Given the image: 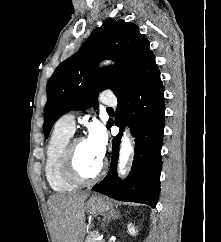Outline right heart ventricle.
Returning a JSON list of instances; mask_svg holds the SVG:
<instances>
[{
  "instance_id": "1",
  "label": "right heart ventricle",
  "mask_w": 221,
  "mask_h": 242,
  "mask_svg": "<svg viewBox=\"0 0 221 242\" xmlns=\"http://www.w3.org/2000/svg\"><path fill=\"white\" fill-rule=\"evenodd\" d=\"M71 135L56 125L46 146L45 177L50 188L59 193L73 191L79 185L69 180L63 172V156Z\"/></svg>"
}]
</instances>
